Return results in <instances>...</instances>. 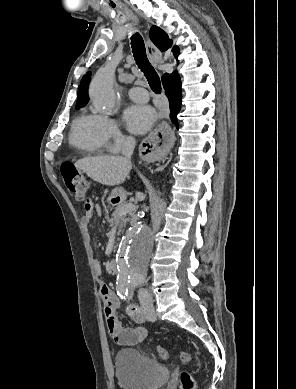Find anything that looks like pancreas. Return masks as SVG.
<instances>
[{
    "label": "pancreas",
    "mask_w": 296,
    "mask_h": 389,
    "mask_svg": "<svg viewBox=\"0 0 296 389\" xmlns=\"http://www.w3.org/2000/svg\"><path fill=\"white\" fill-rule=\"evenodd\" d=\"M125 205L126 204L123 203L117 206L112 213V218L108 220L110 226H113L115 224L118 227V233L123 231V228L126 226V223L129 221V217H127L125 214L120 215V210Z\"/></svg>",
    "instance_id": "pancreas-1"
}]
</instances>
